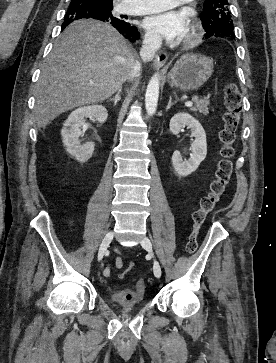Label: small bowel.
I'll list each match as a JSON object with an SVG mask.
<instances>
[{
    "label": "small bowel",
    "mask_w": 276,
    "mask_h": 363,
    "mask_svg": "<svg viewBox=\"0 0 276 363\" xmlns=\"http://www.w3.org/2000/svg\"><path fill=\"white\" fill-rule=\"evenodd\" d=\"M117 256L115 257L113 263L116 268H122L124 266V256L119 250H116ZM104 276L109 277L111 275V268L110 266H106L103 271Z\"/></svg>",
    "instance_id": "small-bowel-1"
}]
</instances>
